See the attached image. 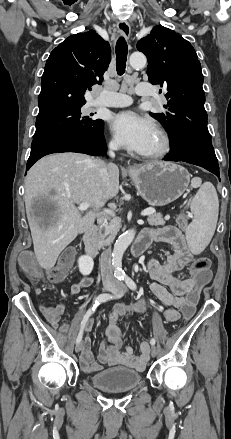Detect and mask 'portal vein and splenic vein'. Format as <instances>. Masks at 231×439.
Masks as SVG:
<instances>
[{"label": "portal vein and splenic vein", "mask_w": 231, "mask_h": 439, "mask_svg": "<svg viewBox=\"0 0 231 439\" xmlns=\"http://www.w3.org/2000/svg\"><path fill=\"white\" fill-rule=\"evenodd\" d=\"M78 204H79L78 208L80 211H85L90 207V204H88V203H78ZM104 212L109 214V215L115 216L111 210L104 209ZM154 213H155L154 208H147V209L142 211L141 215L142 216H150V215H153Z\"/></svg>", "instance_id": "18ae733b"}]
</instances>
